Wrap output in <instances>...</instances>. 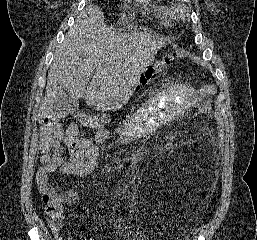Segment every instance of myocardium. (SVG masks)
I'll list each match as a JSON object with an SVG mask.
<instances>
[{"mask_svg":"<svg viewBox=\"0 0 257 240\" xmlns=\"http://www.w3.org/2000/svg\"><path fill=\"white\" fill-rule=\"evenodd\" d=\"M186 12H187L186 7L183 6V5H180L179 8H178V13H179L181 16H183V15L186 14Z\"/></svg>","mask_w":257,"mask_h":240,"instance_id":"obj_1","label":"myocardium"}]
</instances>
